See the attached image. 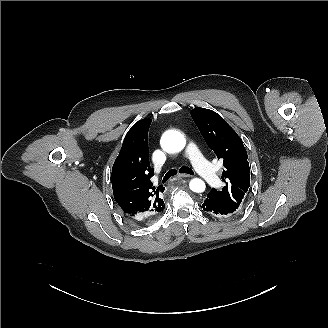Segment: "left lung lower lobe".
Here are the masks:
<instances>
[{"label":"left lung lower lobe","instance_id":"0a47b994","mask_svg":"<svg viewBox=\"0 0 328 328\" xmlns=\"http://www.w3.org/2000/svg\"><path fill=\"white\" fill-rule=\"evenodd\" d=\"M202 207L204 211L216 216L226 217L231 214L228 210L218 205L209 197L205 199L204 203L202 204Z\"/></svg>","mask_w":328,"mask_h":328}]
</instances>
